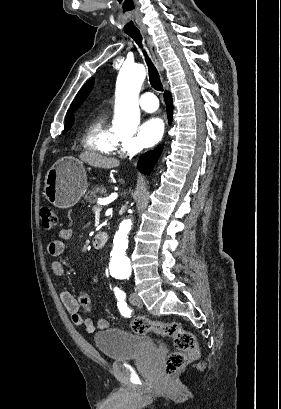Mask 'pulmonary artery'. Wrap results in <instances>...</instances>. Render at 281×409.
Instances as JSON below:
<instances>
[{
    "label": "pulmonary artery",
    "mask_w": 281,
    "mask_h": 409,
    "mask_svg": "<svg viewBox=\"0 0 281 409\" xmlns=\"http://www.w3.org/2000/svg\"><path fill=\"white\" fill-rule=\"evenodd\" d=\"M157 100L158 97L156 94H151L149 91H146L139 104L143 110L153 111L157 109V105H153Z\"/></svg>",
    "instance_id": "e3ab8cb5"
}]
</instances>
